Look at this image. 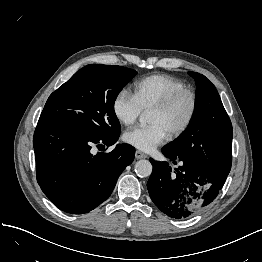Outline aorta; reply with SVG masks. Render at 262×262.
I'll return each mask as SVG.
<instances>
[{"label":"aorta","mask_w":262,"mask_h":262,"mask_svg":"<svg viewBox=\"0 0 262 262\" xmlns=\"http://www.w3.org/2000/svg\"><path fill=\"white\" fill-rule=\"evenodd\" d=\"M139 121L142 124L146 123L147 116H140ZM135 172L139 177H148L152 173V164L148 160H139L135 164Z\"/></svg>","instance_id":"obj_1"}]
</instances>
